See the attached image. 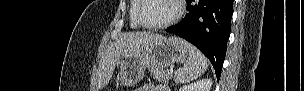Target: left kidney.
Here are the masks:
<instances>
[{"label": "left kidney", "mask_w": 304, "mask_h": 91, "mask_svg": "<svg viewBox=\"0 0 304 91\" xmlns=\"http://www.w3.org/2000/svg\"><path fill=\"white\" fill-rule=\"evenodd\" d=\"M211 79H202L193 84L182 86L179 91H210Z\"/></svg>", "instance_id": "1"}]
</instances>
